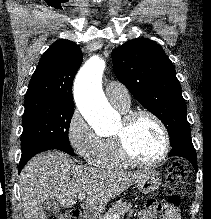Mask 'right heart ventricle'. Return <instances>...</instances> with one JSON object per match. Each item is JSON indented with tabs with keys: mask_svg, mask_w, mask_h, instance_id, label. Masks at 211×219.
I'll use <instances>...</instances> for the list:
<instances>
[{
	"mask_svg": "<svg viewBox=\"0 0 211 219\" xmlns=\"http://www.w3.org/2000/svg\"><path fill=\"white\" fill-rule=\"evenodd\" d=\"M117 109L123 113L128 111V108ZM90 160L95 166L109 169L122 168L127 165L119 157L112 137L100 139L99 145Z\"/></svg>",
	"mask_w": 211,
	"mask_h": 219,
	"instance_id": "obj_1",
	"label": "right heart ventricle"
}]
</instances>
